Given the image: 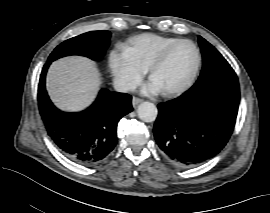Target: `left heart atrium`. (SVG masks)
Returning <instances> with one entry per match:
<instances>
[{
  "instance_id": "left-heart-atrium-1",
  "label": "left heart atrium",
  "mask_w": 270,
  "mask_h": 213,
  "mask_svg": "<svg viewBox=\"0 0 270 213\" xmlns=\"http://www.w3.org/2000/svg\"><path fill=\"white\" fill-rule=\"evenodd\" d=\"M144 91L147 94H157L158 92H160L159 87L154 83V82H150L144 89Z\"/></svg>"
}]
</instances>
